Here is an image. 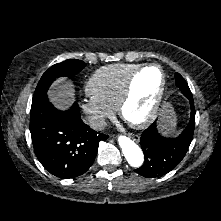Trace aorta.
Here are the masks:
<instances>
[{
    "instance_id": "1",
    "label": "aorta",
    "mask_w": 221,
    "mask_h": 221,
    "mask_svg": "<svg viewBox=\"0 0 221 221\" xmlns=\"http://www.w3.org/2000/svg\"><path fill=\"white\" fill-rule=\"evenodd\" d=\"M118 142L128 163L132 167L141 166L144 161V156L140 147L124 135L119 136Z\"/></svg>"
}]
</instances>
